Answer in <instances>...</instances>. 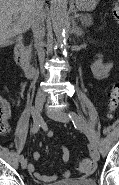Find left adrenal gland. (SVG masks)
<instances>
[{
  "label": "left adrenal gland",
  "instance_id": "a2214340",
  "mask_svg": "<svg viewBox=\"0 0 119 185\" xmlns=\"http://www.w3.org/2000/svg\"><path fill=\"white\" fill-rule=\"evenodd\" d=\"M73 25V31L77 36H81L83 34V31L77 26L75 20H72Z\"/></svg>",
  "mask_w": 119,
  "mask_h": 185
}]
</instances>
